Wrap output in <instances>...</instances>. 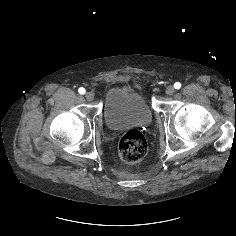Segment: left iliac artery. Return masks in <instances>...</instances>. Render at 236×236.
Returning a JSON list of instances; mask_svg holds the SVG:
<instances>
[{
  "label": "left iliac artery",
  "mask_w": 236,
  "mask_h": 236,
  "mask_svg": "<svg viewBox=\"0 0 236 236\" xmlns=\"http://www.w3.org/2000/svg\"><path fill=\"white\" fill-rule=\"evenodd\" d=\"M174 88H175V89H180V88H181V83H180V82H176V83L174 84Z\"/></svg>",
  "instance_id": "1"
}]
</instances>
